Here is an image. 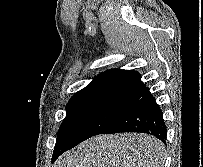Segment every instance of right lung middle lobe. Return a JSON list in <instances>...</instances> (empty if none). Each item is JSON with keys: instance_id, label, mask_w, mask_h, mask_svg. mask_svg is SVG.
I'll return each mask as SVG.
<instances>
[{"instance_id": "1", "label": "right lung middle lobe", "mask_w": 203, "mask_h": 167, "mask_svg": "<svg viewBox=\"0 0 203 167\" xmlns=\"http://www.w3.org/2000/svg\"><path fill=\"white\" fill-rule=\"evenodd\" d=\"M130 107L102 100L69 102L56 143L73 148L82 141L101 134Z\"/></svg>"}]
</instances>
